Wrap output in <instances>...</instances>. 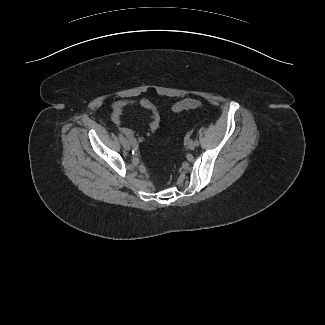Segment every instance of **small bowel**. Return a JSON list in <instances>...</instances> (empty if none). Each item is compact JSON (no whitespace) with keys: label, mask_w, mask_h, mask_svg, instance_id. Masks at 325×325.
Wrapping results in <instances>:
<instances>
[{"label":"small bowel","mask_w":325,"mask_h":325,"mask_svg":"<svg viewBox=\"0 0 325 325\" xmlns=\"http://www.w3.org/2000/svg\"><path fill=\"white\" fill-rule=\"evenodd\" d=\"M138 107L150 112V122L147 127L146 135L153 134L160 126V113L157 107L149 99H142L140 101L134 99H121L113 102L111 104L113 121L120 124V115L122 112ZM120 131L127 136L133 144L142 139V137L138 136L133 130L127 127L120 126Z\"/></svg>","instance_id":"small-bowel-1"}]
</instances>
